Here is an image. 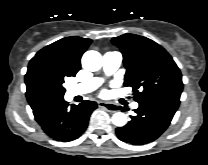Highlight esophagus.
I'll list each match as a JSON object with an SVG mask.
<instances>
[{
    "label": "esophagus",
    "mask_w": 208,
    "mask_h": 165,
    "mask_svg": "<svg viewBox=\"0 0 208 165\" xmlns=\"http://www.w3.org/2000/svg\"><path fill=\"white\" fill-rule=\"evenodd\" d=\"M98 106L106 109L109 112H116L118 109L115 104L108 103V102H102V101L98 102Z\"/></svg>",
    "instance_id": "34e87169"
}]
</instances>
